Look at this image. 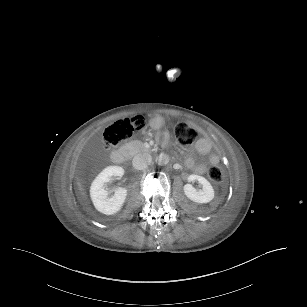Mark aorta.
I'll return each instance as SVG.
<instances>
[{
    "label": "aorta",
    "instance_id": "1",
    "mask_svg": "<svg viewBox=\"0 0 307 307\" xmlns=\"http://www.w3.org/2000/svg\"><path fill=\"white\" fill-rule=\"evenodd\" d=\"M157 160L160 164H167L169 162V158L164 153H161Z\"/></svg>",
    "mask_w": 307,
    "mask_h": 307
}]
</instances>
